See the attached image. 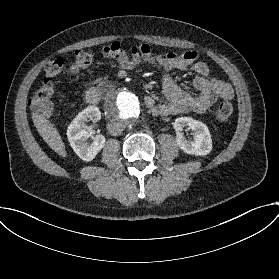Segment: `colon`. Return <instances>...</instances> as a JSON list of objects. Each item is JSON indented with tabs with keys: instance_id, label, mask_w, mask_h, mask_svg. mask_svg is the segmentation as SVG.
Masks as SVG:
<instances>
[{
	"instance_id": "5ec220e1",
	"label": "colon",
	"mask_w": 279,
	"mask_h": 279,
	"mask_svg": "<svg viewBox=\"0 0 279 279\" xmlns=\"http://www.w3.org/2000/svg\"><path fill=\"white\" fill-rule=\"evenodd\" d=\"M94 56L88 51H79L72 59L69 71L77 74L85 70L93 62ZM65 64L60 59H54L44 66V74L47 83L37 89L29 100L31 108L40 114H50L53 110L54 88L50 80L62 77L65 74ZM233 114V105L229 101H221L217 106L216 118L219 121H227Z\"/></svg>"
}]
</instances>
